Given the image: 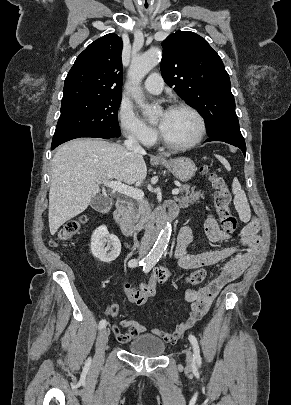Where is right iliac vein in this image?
I'll list each match as a JSON object with an SVG mask.
<instances>
[{
	"label": "right iliac vein",
	"instance_id": "obj_1",
	"mask_svg": "<svg viewBox=\"0 0 291 405\" xmlns=\"http://www.w3.org/2000/svg\"><path fill=\"white\" fill-rule=\"evenodd\" d=\"M108 336L109 332L107 328L104 327L103 329H101L96 342V359L98 361H101L103 359L105 346L108 342Z\"/></svg>",
	"mask_w": 291,
	"mask_h": 405
}]
</instances>
